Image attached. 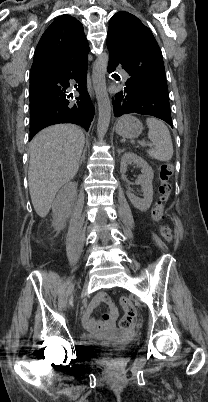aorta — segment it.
Instances as JSON below:
<instances>
[{"label":"aorta","instance_id":"obj_1","mask_svg":"<svg viewBox=\"0 0 208 402\" xmlns=\"http://www.w3.org/2000/svg\"><path fill=\"white\" fill-rule=\"evenodd\" d=\"M108 60V54L103 52V54L98 56L96 62H94L92 70V84L95 90L99 110L97 124V136L99 140H103L111 120V102L109 100L105 80Z\"/></svg>","mask_w":208,"mask_h":402}]
</instances>
